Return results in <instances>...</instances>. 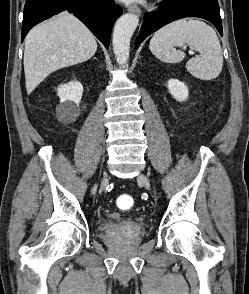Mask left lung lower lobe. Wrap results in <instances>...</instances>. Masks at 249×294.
Returning a JSON list of instances; mask_svg holds the SVG:
<instances>
[{
    "mask_svg": "<svg viewBox=\"0 0 249 294\" xmlns=\"http://www.w3.org/2000/svg\"><path fill=\"white\" fill-rule=\"evenodd\" d=\"M144 22L135 41L137 49L140 43L162 26L184 17H199L210 21L221 36L222 23L217 0H162L161 7L144 14Z\"/></svg>",
    "mask_w": 249,
    "mask_h": 294,
    "instance_id": "0a47b994",
    "label": "left lung lower lobe"
}]
</instances>
